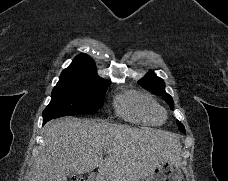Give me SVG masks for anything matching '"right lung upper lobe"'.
<instances>
[{
  "instance_id": "cb5924a9",
  "label": "right lung upper lobe",
  "mask_w": 228,
  "mask_h": 181,
  "mask_svg": "<svg viewBox=\"0 0 228 181\" xmlns=\"http://www.w3.org/2000/svg\"><path fill=\"white\" fill-rule=\"evenodd\" d=\"M106 82L97 75L94 61L86 54H80L66 68L58 84L77 85L91 82Z\"/></svg>"
}]
</instances>
